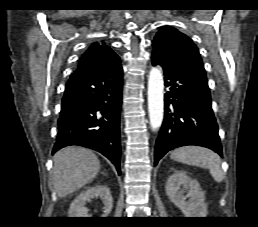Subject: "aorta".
<instances>
[{"label": "aorta", "instance_id": "1", "mask_svg": "<svg viewBox=\"0 0 258 227\" xmlns=\"http://www.w3.org/2000/svg\"><path fill=\"white\" fill-rule=\"evenodd\" d=\"M164 81L162 72L152 68L148 79V112L153 130H157L163 121L164 115Z\"/></svg>", "mask_w": 258, "mask_h": 227}]
</instances>
